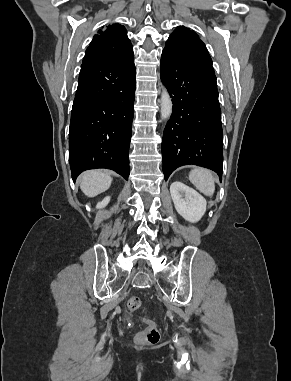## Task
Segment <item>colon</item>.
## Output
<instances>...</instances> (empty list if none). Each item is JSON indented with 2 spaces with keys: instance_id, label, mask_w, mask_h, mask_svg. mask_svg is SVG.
<instances>
[{
  "instance_id": "colon-1",
  "label": "colon",
  "mask_w": 291,
  "mask_h": 381,
  "mask_svg": "<svg viewBox=\"0 0 291 381\" xmlns=\"http://www.w3.org/2000/svg\"><path fill=\"white\" fill-rule=\"evenodd\" d=\"M141 304L140 298L137 296H131L127 300V307L131 311H135ZM145 327L137 334V341L141 344L153 345L159 341L160 334L156 323L147 319L144 321Z\"/></svg>"
}]
</instances>
